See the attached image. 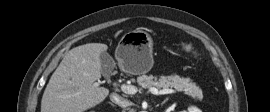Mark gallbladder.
Segmentation results:
<instances>
[{
	"label": "gallbladder",
	"mask_w": 270,
	"mask_h": 112,
	"mask_svg": "<svg viewBox=\"0 0 270 112\" xmlns=\"http://www.w3.org/2000/svg\"><path fill=\"white\" fill-rule=\"evenodd\" d=\"M100 61H101V65H102V73L105 76H108L114 68V60L113 58L107 53V52H103L100 55Z\"/></svg>",
	"instance_id": "obj_1"
}]
</instances>
